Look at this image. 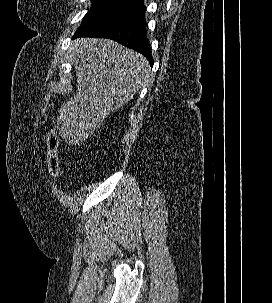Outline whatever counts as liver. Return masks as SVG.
I'll use <instances>...</instances> for the list:
<instances>
[{
  "mask_svg": "<svg viewBox=\"0 0 272 303\" xmlns=\"http://www.w3.org/2000/svg\"><path fill=\"white\" fill-rule=\"evenodd\" d=\"M77 91L61 106L57 129L65 142L86 140L105 118L122 108L149 78L147 59L109 39L73 42Z\"/></svg>",
  "mask_w": 272,
  "mask_h": 303,
  "instance_id": "1",
  "label": "liver"
}]
</instances>
